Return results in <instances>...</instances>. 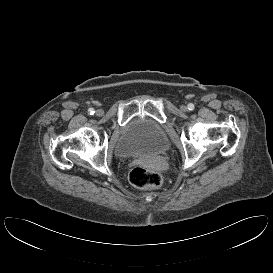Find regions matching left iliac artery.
<instances>
[{"label":"left iliac artery","mask_w":273,"mask_h":273,"mask_svg":"<svg viewBox=\"0 0 273 273\" xmlns=\"http://www.w3.org/2000/svg\"><path fill=\"white\" fill-rule=\"evenodd\" d=\"M195 107H194V104H192V103H189L188 104V109L189 110H193Z\"/></svg>","instance_id":"left-iliac-artery-1"}]
</instances>
